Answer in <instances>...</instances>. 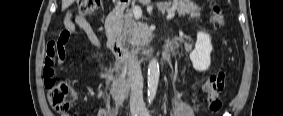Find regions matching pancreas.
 <instances>
[{"label": "pancreas", "mask_w": 283, "mask_h": 116, "mask_svg": "<svg viewBox=\"0 0 283 116\" xmlns=\"http://www.w3.org/2000/svg\"><path fill=\"white\" fill-rule=\"evenodd\" d=\"M173 5V6H172ZM157 6L165 10H176L179 16L189 14L191 17H200V8L191 1L175 0L170 2H158ZM114 34L123 42L137 46L142 43L140 23L134 19L133 10L130 9L123 17L121 24L115 29Z\"/></svg>", "instance_id": "pancreas-1"}]
</instances>
